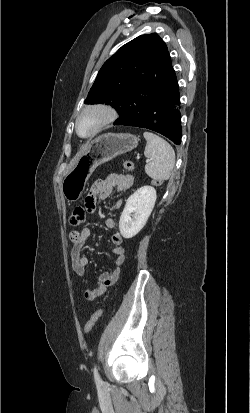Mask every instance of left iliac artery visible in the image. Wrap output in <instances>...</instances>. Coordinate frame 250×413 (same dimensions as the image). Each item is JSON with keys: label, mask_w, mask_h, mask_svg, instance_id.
I'll return each instance as SVG.
<instances>
[{"label": "left iliac artery", "mask_w": 250, "mask_h": 413, "mask_svg": "<svg viewBox=\"0 0 250 413\" xmlns=\"http://www.w3.org/2000/svg\"><path fill=\"white\" fill-rule=\"evenodd\" d=\"M93 372H94V379H95V381H96V382H101V379H100V376H99V374H98V371H97L96 366L94 367Z\"/></svg>", "instance_id": "44dca946"}]
</instances>
